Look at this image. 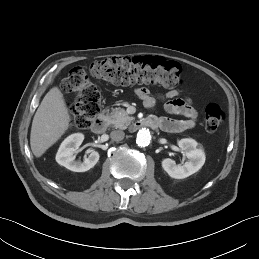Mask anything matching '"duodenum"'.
I'll return each mask as SVG.
<instances>
[{"mask_svg": "<svg viewBox=\"0 0 259 259\" xmlns=\"http://www.w3.org/2000/svg\"><path fill=\"white\" fill-rule=\"evenodd\" d=\"M106 125H107L106 119L103 116H98L92 122L91 129L96 134H102L106 131ZM134 127L136 129H140V128H143V127L157 129V128H160V123L155 118H146V119H143V120L136 121L134 123Z\"/></svg>", "mask_w": 259, "mask_h": 259, "instance_id": "obj_1", "label": "duodenum"}]
</instances>
